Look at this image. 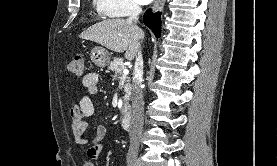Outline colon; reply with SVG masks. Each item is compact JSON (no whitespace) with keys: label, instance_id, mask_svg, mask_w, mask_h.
I'll return each mask as SVG.
<instances>
[{"label":"colon","instance_id":"1","mask_svg":"<svg viewBox=\"0 0 277 166\" xmlns=\"http://www.w3.org/2000/svg\"><path fill=\"white\" fill-rule=\"evenodd\" d=\"M68 70L76 76H82L84 73L83 57L81 55H75L68 64Z\"/></svg>","mask_w":277,"mask_h":166}]
</instances>
